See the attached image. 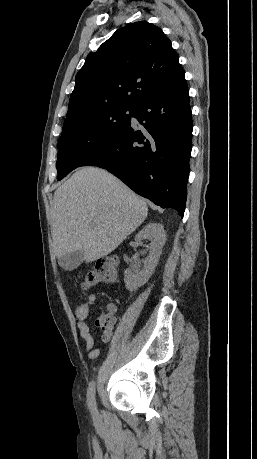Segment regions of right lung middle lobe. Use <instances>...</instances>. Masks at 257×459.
I'll return each mask as SVG.
<instances>
[{
	"label": "right lung middle lobe",
	"instance_id": "right-lung-middle-lobe-1",
	"mask_svg": "<svg viewBox=\"0 0 257 459\" xmlns=\"http://www.w3.org/2000/svg\"><path fill=\"white\" fill-rule=\"evenodd\" d=\"M135 107L104 109L63 127L58 143L57 180L108 147L130 125Z\"/></svg>",
	"mask_w": 257,
	"mask_h": 459
}]
</instances>
